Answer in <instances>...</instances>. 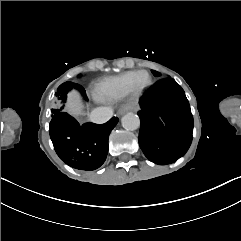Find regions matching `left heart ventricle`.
<instances>
[{"label":"left heart ventricle","mask_w":241,"mask_h":241,"mask_svg":"<svg viewBox=\"0 0 241 241\" xmlns=\"http://www.w3.org/2000/svg\"><path fill=\"white\" fill-rule=\"evenodd\" d=\"M129 93H130V95H132V96H137V95H139V93H140V88H139V86H137V85H132V86H130V88H129Z\"/></svg>","instance_id":"b2bd125f"}]
</instances>
